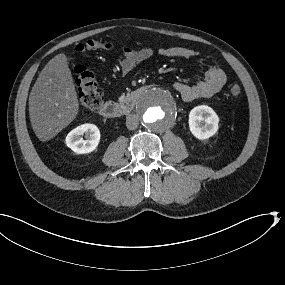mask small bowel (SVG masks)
Masks as SVG:
<instances>
[{"mask_svg": "<svg viewBox=\"0 0 285 285\" xmlns=\"http://www.w3.org/2000/svg\"><path fill=\"white\" fill-rule=\"evenodd\" d=\"M155 53L170 59H189L199 55L198 51L183 46L160 48L157 52L150 47H143L140 49L124 48L118 58L121 73L123 75L129 74L139 64L150 59ZM226 80V75L223 69L217 65H213L207 69L204 77L198 80L194 85H188L184 82H176L174 84V89L184 101L190 102L199 98L212 97L221 91Z\"/></svg>", "mask_w": 285, "mask_h": 285, "instance_id": "c3829d8e", "label": "small bowel"}]
</instances>
